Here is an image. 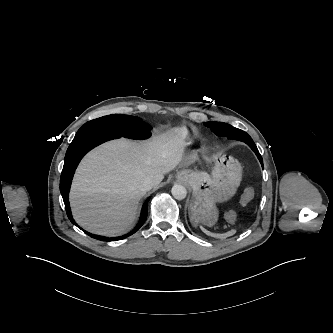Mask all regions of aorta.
<instances>
[{"label":"aorta","instance_id":"762f6f07","mask_svg":"<svg viewBox=\"0 0 333 333\" xmlns=\"http://www.w3.org/2000/svg\"><path fill=\"white\" fill-rule=\"evenodd\" d=\"M171 193L175 199L182 200L187 195V190L182 185H174L171 189Z\"/></svg>","mask_w":333,"mask_h":333}]
</instances>
